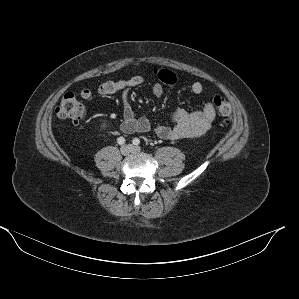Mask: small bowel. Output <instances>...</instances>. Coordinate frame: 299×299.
<instances>
[{"mask_svg": "<svg viewBox=\"0 0 299 299\" xmlns=\"http://www.w3.org/2000/svg\"><path fill=\"white\" fill-rule=\"evenodd\" d=\"M154 75L157 77L152 91L155 96H161L164 87L172 86L177 82L176 75L169 70L155 69ZM144 83L141 75H134L125 80L107 81L97 87V93L101 96L120 93L122 96L123 119L120 124V130L125 134L134 132L147 133L153 131L158 137L165 140L192 139L203 136L211 127L216 119V111L213 102L207 101L204 106L198 110L188 112L184 109H177L171 115L170 125H153L146 117H137L133 111L129 93L134 87ZM195 94H201L204 90L200 82H194L190 86ZM81 97L85 101H92L94 92L90 88H84L81 91Z\"/></svg>", "mask_w": 299, "mask_h": 299, "instance_id": "small-bowel-1", "label": "small bowel"}]
</instances>
